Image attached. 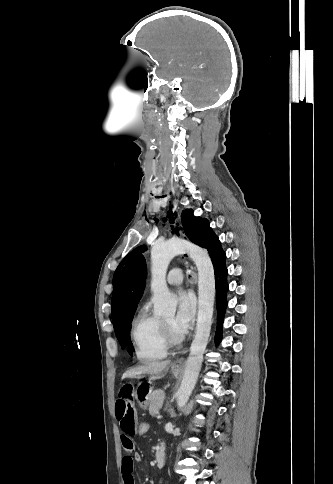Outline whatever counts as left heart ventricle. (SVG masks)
I'll list each match as a JSON object with an SVG mask.
<instances>
[{
    "mask_svg": "<svg viewBox=\"0 0 333 484\" xmlns=\"http://www.w3.org/2000/svg\"><path fill=\"white\" fill-rule=\"evenodd\" d=\"M173 318H174V315L170 314V315L164 317L163 320L166 321L171 326V328L173 329L174 332H176L175 329L173 328Z\"/></svg>",
    "mask_w": 333,
    "mask_h": 484,
    "instance_id": "obj_1",
    "label": "left heart ventricle"
}]
</instances>
